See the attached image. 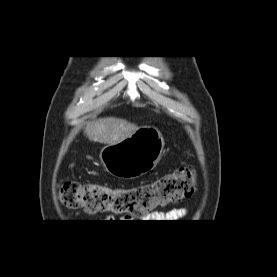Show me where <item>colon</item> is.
Here are the masks:
<instances>
[{"mask_svg": "<svg viewBox=\"0 0 277 277\" xmlns=\"http://www.w3.org/2000/svg\"><path fill=\"white\" fill-rule=\"evenodd\" d=\"M196 183L193 168L182 167L153 182L128 188L66 181L59 186L58 197L66 207L89 213L144 216L159 206L190 197Z\"/></svg>", "mask_w": 277, "mask_h": 277, "instance_id": "5ec220e1", "label": "colon"}]
</instances>
